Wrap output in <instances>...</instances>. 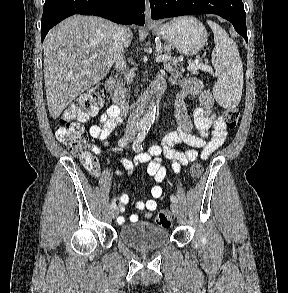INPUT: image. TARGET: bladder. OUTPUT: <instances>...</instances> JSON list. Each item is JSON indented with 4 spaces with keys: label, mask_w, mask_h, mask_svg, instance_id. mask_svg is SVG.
Listing matches in <instances>:
<instances>
[{
    "label": "bladder",
    "mask_w": 288,
    "mask_h": 293,
    "mask_svg": "<svg viewBox=\"0 0 288 293\" xmlns=\"http://www.w3.org/2000/svg\"><path fill=\"white\" fill-rule=\"evenodd\" d=\"M119 237L133 248L149 250L164 246L169 239V233L166 228L159 225L136 222L121 227Z\"/></svg>",
    "instance_id": "obj_1"
}]
</instances>
